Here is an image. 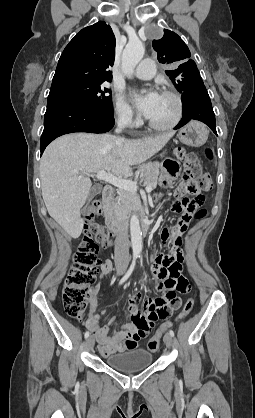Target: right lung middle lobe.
I'll list each match as a JSON object with an SVG mask.
<instances>
[{"label":"right lung middle lobe","instance_id":"1","mask_svg":"<svg viewBox=\"0 0 255 418\" xmlns=\"http://www.w3.org/2000/svg\"><path fill=\"white\" fill-rule=\"evenodd\" d=\"M53 101L77 102L102 115L113 116L111 91L103 87V82L71 81L51 85L48 102Z\"/></svg>","mask_w":255,"mask_h":418}]
</instances>
